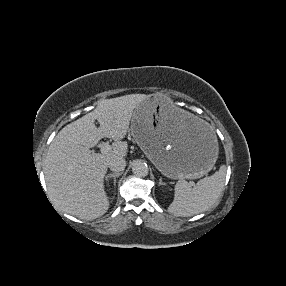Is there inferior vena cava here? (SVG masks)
I'll use <instances>...</instances> for the list:
<instances>
[{"label": "inferior vena cava", "instance_id": "1", "mask_svg": "<svg viewBox=\"0 0 286 286\" xmlns=\"http://www.w3.org/2000/svg\"><path fill=\"white\" fill-rule=\"evenodd\" d=\"M126 161L123 157L115 156L109 162L110 170L119 173L125 169Z\"/></svg>", "mask_w": 286, "mask_h": 286}]
</instances>
